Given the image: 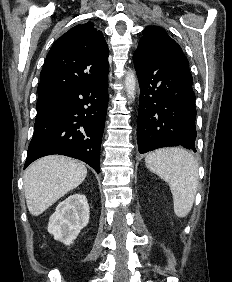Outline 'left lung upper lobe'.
I'll return each instance as SVG.
<instances>
[{
	"label": "left lung upper lobe",
	"instance_id": "1",
	"mask_svg": "<svg viewBox=\"0 0 232 282\" xmlns=\"http://www.w3.org/2000/svg\"><path fill=\"white\" fill-rule=\"evenodd\" d=\"M182 52L181 47L159 26H148L143 31L136 51L146 55H157L167 51Z\"/></svg>",
	"mask_w": 232,
	"mask_h": 282
}]
</instances>
